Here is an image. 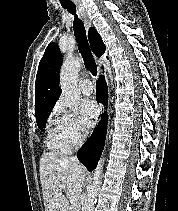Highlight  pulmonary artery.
<instances>
[{"label": "pulmonary artery", "mask_w": 178, "mask_h": 211, "mask_svg": "<svg viewBox=\"0 0 178 211\" xmlns=\"http://www.w3.org/2000/svg\"><path fill=\"white\" fill-rule=\"evenodd\" d=\"M79 88L84 95H91L93 92V86L89 79L82 80L79 85Z\"/></svg>", "instance_id": "1"}]
</instances>
